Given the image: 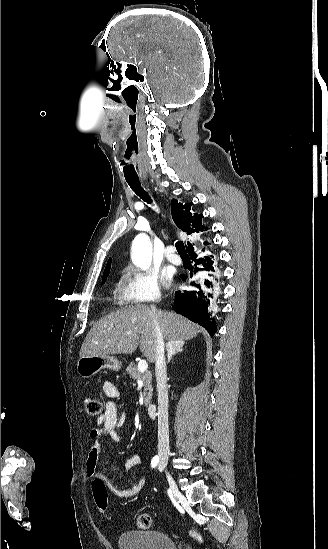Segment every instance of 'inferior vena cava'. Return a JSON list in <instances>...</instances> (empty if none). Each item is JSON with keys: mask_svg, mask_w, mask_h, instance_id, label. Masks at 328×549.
Masks as SVG:
<instances>
[{"mask_svg": "<svg viewBox=\"0 0 328 549\" xmlns=\"http://www.w3.org/2000/svg\"><path fill=\"white\" fill-rule=\"evenodd\" d=\"M160 303V301H153ZM152 313H155V305H151ZM155 335V373L158 393V455L164 457L169 453V429H168V391L167 369L164 357V337L161 333L157 319H154ZM173 343V341H171Z\"/></svg>", "mask_w": 328, "mask_h": 549, "instance_id": "1", "label": "inferior vena cava"}]
</instances>
